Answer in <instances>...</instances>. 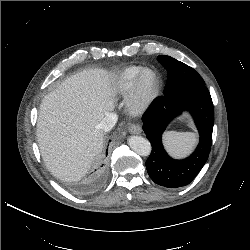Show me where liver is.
<instances>
[{"label":"liver","instance_id":"obj_1","mask_svg":"<svg viewBox=\"0 0 250 250\" xmlns=\"http://www.w3.org/2000/svg\"><path fill=\"white\" fill-rule=\"evenodd\" d=\"M113 75L102 69L79 72L48 93L40 104L37 139L46 167L55 177L76 181L102 151L98 127L114 108Z\"/></svg>","mask_w":250,"mask_h":250}]
</instances>
